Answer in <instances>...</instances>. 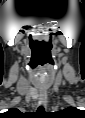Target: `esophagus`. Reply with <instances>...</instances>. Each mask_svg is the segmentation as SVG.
Masks as SVG:
<instances>
[{"instance_id": "34e87169", "label": "esophagus", "mask_w": 85, "mask_h": 118, "mask_svg": "<svg viewBox=\"0 0 85 118\" xmlns=\"http://www.w3.org/2000/svg\"><path fill=\"white\" fill-rule=\"evenodd\" d=\"M38 100H39V104L46 108V105H47V91H45V90L42 91L41 90L39 92Z\"/></svg>"}]
</instances>
